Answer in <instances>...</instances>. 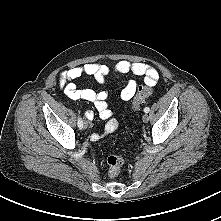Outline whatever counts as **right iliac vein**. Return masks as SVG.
Listing matches in <instances>:
<instances>
[{
    "label": "right iliac vein",
    "instance_id": "1",
    "mask_svg": "<svg viewBox=\"0 0 221 221\" xmlns=\"http://www.w3.org/2000/svg\"><path fill=\"white\" fill-rule=\"evenodd\" d=\"M83 127H84V128H87V122H86V121L84 122Z\"/></svg>",
    "mask_w": 221,
    "mask_h": 221
}]
</instances>
